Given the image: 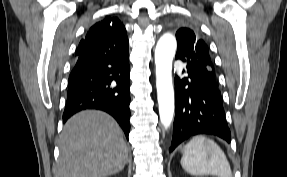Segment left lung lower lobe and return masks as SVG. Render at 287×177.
<instances>
[{"instance_id":"left-lung-lower-lobe-1","label":"left lung lower lobe","mask_w":287,"mask_h":177,"mask_svg":"<svg viewBox=\"0 0 287 177\" xmlns=\"http://www.w3.org/2000/svg\"><path fill=\"white\" fill-rule=\"evenodd\" d=\"M176 59H180L176 56ZM188 76L175 77V120L170 152L182 141L196 134H214L231 140L221 93L217 83L208 82L186 66Z\"/></svg>"}]
</instances>
